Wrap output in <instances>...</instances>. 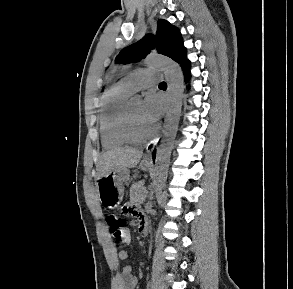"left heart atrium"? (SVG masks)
I'll use <instances>...</instances> for the list:
<instances>
[{"label": "left heart atrium", "instance_id": "1", "mask_svg": "<svg viewBox=\"0 0 293 289\" xmlns=\"http://www.w3.org/2000/svg\"><path fill=\"white\" fill-rule=\"evenodd\" d=\"M164 110V102L160 95L149 93L143 104V116L152 125H155Z\"/></svg>", "mask_w": 293, "mask_h": 289}]
</instances>
